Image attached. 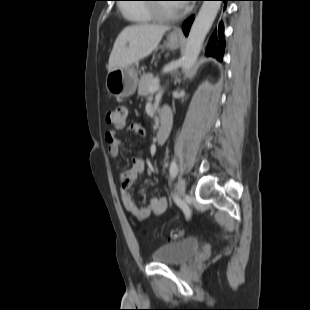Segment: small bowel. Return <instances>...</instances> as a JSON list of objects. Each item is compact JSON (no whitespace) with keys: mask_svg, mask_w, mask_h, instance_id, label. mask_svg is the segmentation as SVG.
Returning <instances> with one entry per match:
<instances>
[{"mask_svg":"<svg viewBox=\"0 0 310 310\" xmlns=\"http://www.w3.org/2000/svg\"><path fill=\"white\" fill-rule=\"evenodd\" d=\"M170 111L167 107H165ZM129 130L137 136H145L146 131L140 124H133ZM105 139L108 143L107 152L110 157L117 158L120 153L121 143L116 138V132L111 130L106 133ZM145 160L141 157H135L132 159L131 167L120 174L119 177V189L122 203L126 211L138 221L147 219L151 214L162 215L167 207L168 201L165 197H151L148 202L139 207L133 201L130 195V188L138 177L144 172Z\"/></svg>","mask_w":310,"mask_h":310,"instance_id":"c3829d8e","label":"small bowel"}]
</instances>
